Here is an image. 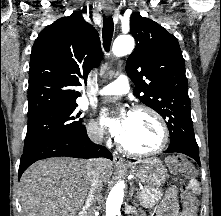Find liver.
I'll list each match as a JSON object with an SVG mask.
<instances>
[{
  "mask_svg": "<svg viewBox=\"0 0 221 216\" xmlns=\"http://www.w3.org/2000/svg\"><path fill=\"white\" fill-rule=\"evenodd\" d=\"M89 163L100 172L102 184L108 183L113 165L105 158L58 157L31 165L19 183L22 216H76L90 190Z\"/></svg>",
  "mask_w": 221,
  "mask_h": 216,
  "instance_id": "obj_1",
  "label": "liver"
}]
</instances>
